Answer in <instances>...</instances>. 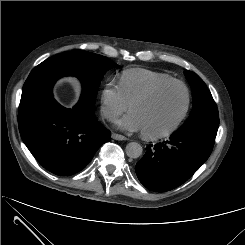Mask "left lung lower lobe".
Returning a JSON list of instances; mask_svg holds the SVG:
<instances>
[{
  "label": "left lung lower lobe",
  "mask_w": 245,
  "mask_h": 245,
  "mask_svg": "<svg viewBox=\"0 0 245 245\" xmlns=\"http://www.w3.org/2000/svg\"><path fill=\"white\" fill-rule=\"evenodd\" d=\"M215 137L198 131L173 133L169 141L149 145L136 164L140 182L155 192L172 190L188 180L210 156Z\"/></svg>",
  "instance_id": "left-lung-lower-lobe-1"
}]
</instances>
